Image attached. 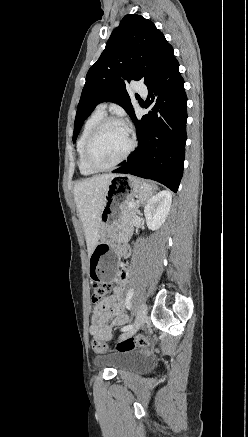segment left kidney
Here are the masks:
<instances>
[{
    "mask_svg": "<svg viewBox=\"0 0 248 437\" xmlns=\"http://www.w3.org/2000/svg\"><path fill=\"white\" fill-rule=\"evenodd\" d=\"M171 202L172 195L167 190L158 192L148 200L144 214L149 229L157 230L165 222L171 208Z\"/></svg>",
    "mask_w": 248,
    "mask_h": 437,
    "instance_id": "left-kidney-1",
    "label": "left kidney"
}]
</instances>
